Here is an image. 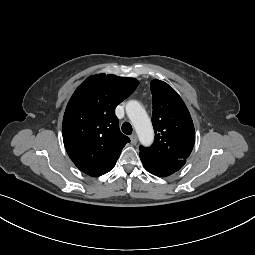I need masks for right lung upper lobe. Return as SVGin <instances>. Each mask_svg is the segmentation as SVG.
Wrapping results in <instances>:
<instances>
[{
	"label": "right lung upper lobe",
	"mask_w": 255,
	"mask_h": 255,
	"mask_svg": "<svg viewBox=\"0 0 255 255\" xmlns=\"http://www.w3.org/2000/svg\"><path fill=\"white\" fill-rule=\"evenodd\" d=\"M138 84L134 78L102 73L87 78L69 100L62 125L64 146L85 174L109 172L130 142L119 129L115 108Z\"/></svg>",
	"instance_id": "1"
}]
</instances>
